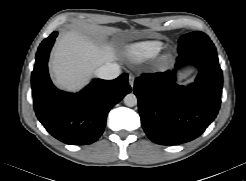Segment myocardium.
Listing matches in <instances>:
<instances>
[{
	"mask_svg": "<svg viewBox=\"0 0 246 181\" xmlns=\"http://www.w3.org/2000/svg\"><path fill=\"white\" fill-rule=\"evenodd\" d=\"M168 56H169V55H165L163 58H164V59H167V58H168Z\"/></svg>",
	"mask_w": 246,
	"mask_h": 181,
	"instance_id": "myocardium-1",
	"label": "myocardium"
}]
</instances>
